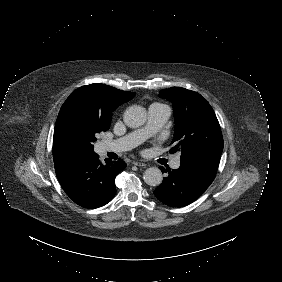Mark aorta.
<instances>
[{"label": "aorta", "mask_w": 282, "mask_h": 282, "mask_svg": "<svg viewBox=\"0 0 282 282\" xmlns=\"http://www.w3.org/2000/svg\"><path fill=\"white\" fill-rule=\"evenodd\" d=\"M124 123L131 128H137L145 124L147 120L146 109L139 105H132L126 109L123 115ZM143 179L150 186H158L162 183V172L157 167H150L145 170Z\"/></svg>", "instance_id": "obj_1"}]
</instances>
